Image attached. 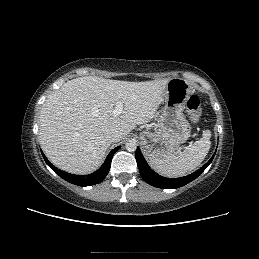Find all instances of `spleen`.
<instances>
[{"mask_svg": "<svg viewBox=\"0 0 259 259\" xmlns=\"http://www.w3.org/2000/svg\"><path fill=\"white\" fill-rule=\"evenodd\" d=\"M211 131L204 130L202 138L176 156L150 160L151 166L166 177H180L193 171L205 159L211 147Z\"/></svg>", "mask_w": 259, "mask_h": 259, "instance_id": "spleen-1", "label": "spleen"}]
</instances>
